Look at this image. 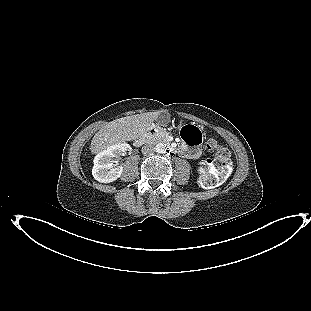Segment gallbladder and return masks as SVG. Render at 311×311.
Masks as SVG:
<instances>
[{
  "instance_id": "obj_1",
  "label": "gallbladder",
  "mask_w": 311,
  "mask_h": 311,
  "mask_svg": "<svg viewBox=\"0 0 311 311\" xmlns=\"http://www.w3.org/2000/svg\"><path fill=\"white\" fill-rule=\"evenodd\" d=\"M170 121V114L168 112H161L157 117V123L165 125Z\"/></svg>"
}]
</instances>
